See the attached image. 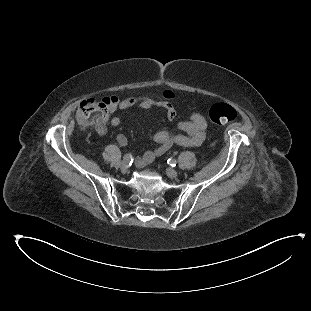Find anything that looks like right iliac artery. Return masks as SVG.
<instances>
[{"label": "right iliac artery", "mask_w": 311, "mask_h": 311, "mask_svg": "<svg viewBox=\"0 0 311 311\" xmlns=\"http://www.w3.org/2000/svg\"><path fill=\"white\" fill-rule=\"evenodd\" d=\"M133 160H134V158L131 154H125L124 155V161H126L127 163H132Z\"/></svg>", "instance_id": "obj_1"}]
</instances>
